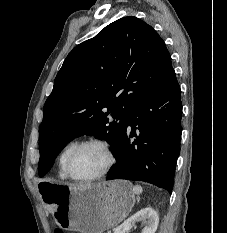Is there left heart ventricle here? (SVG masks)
I'll return each instance as SVG.
<instances>
[{
	"label": "left heart ventricle",
	"instance_id": "1",
	"mask_svg": "<svg viewBox=\"0 0 227 233\" xmlns=\"http://www.w3.org/2000/svg\"><path fill=\"white\" fill-rule=\"evenodd\" d=\"M107 163L104 150L96 145L79 149L71 159V171L77 178H87L100 173Z\"/></svg>",
	"mask_w": 227,
	"mask_h": 233
}]
</instances>
